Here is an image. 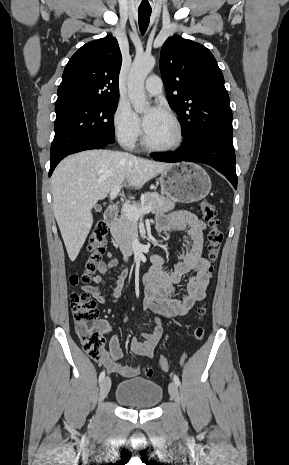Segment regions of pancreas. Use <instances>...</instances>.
<instances>
[{
  "mask_svg": "<svg viewBox=\"0 0 289 465\" xmlns=\"http://www.w3.org/2000/svg\"><path fill=\"white\" fill-rule=\"evenodd\" d=\"M133 206L138 209L152 206L153 214H162L173 210L175 201L156 192H148L141 196V203H134ZM111 233L120 250L124 253H131L133 241L138 237L137 221L131 220L122 212L120 218L112 226Z\"/></svg>",
  "mask_w": 289,
  "mask_h": 465,
  "instance_id": "obj_1",
  "label": "pancreas"
}]
</instances>
